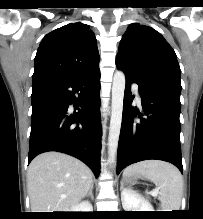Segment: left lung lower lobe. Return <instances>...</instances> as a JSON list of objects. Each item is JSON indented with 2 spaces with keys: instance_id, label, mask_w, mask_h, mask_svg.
I'll list each match as a JSON object with an SVG mask.
<instances>
[{
  "instance_id": "1",
  "label": "left lung lower lobe",
  "mask_w": 203,
  "mask_h": 219,
  "mask_svg": "<svg viewBox=\"0 0 203 219\" xmlns=\"http://www.w3.org/2000/svg\"><path fill=\"white\" fill-rule=\"evenodd\" d=\"M122 125L118 144L117 174L130 164L157 159L174 164L181 172L180 91L149 84L125 74ZM137 83L143 113L132 107L130 84ZM139 116L140 120L134 117ZM145 116V118H143Z\"/></svg>"
}]
</instances>
